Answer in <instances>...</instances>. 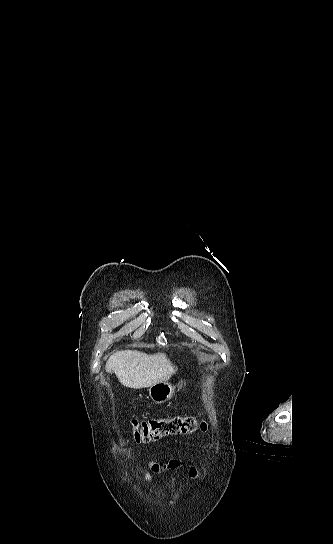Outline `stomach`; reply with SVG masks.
<instances>
[{"instance_id": "1", "label": "stomach", "mask_w": 333, "mask_h": 544, "mask_svg": "<svg viewBox=\"0 0 333 544\" xmlns=\"http://www.w3.org/2000/svg\"><path fill=\"white\" fill-rule=\"evenodd\" d=\"M182 383V381H181ZM175 392V386L169 382H159L149 387V397L155 403H164L170 400Z\"/></svg>"}]
</instances>
